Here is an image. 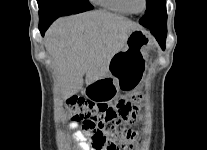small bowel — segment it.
<instances>
[{
  "mask_svg": "<svg viewBox=\"0 0 207 150\" xmlns=\"http://www.w3.org/2000/svg\"><path fill=\"white\" fill-rule=\"evenodd\" d=\"M79 127V121L78 120H72L69 124V129L70 130H74L75 131V137L77 138V140L79 141L78 143V148L80 150H97L96 147L93 146V137L92 134H89L90 137V141H91V146L89 145V143L87 142V137L85 134H83L81 131H78Z\"/></svg>",
  "mask_w": 207,
  "mask_h": 150,
  "instance_id": "1",
  "label": "small bowel"
}]
</instances>
